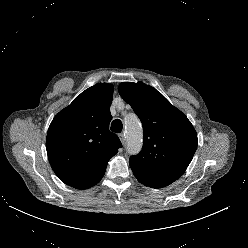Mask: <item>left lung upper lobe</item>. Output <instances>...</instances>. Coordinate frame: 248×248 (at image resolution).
<instances>
[{"label":"left lung upper lobe","instance_id":"1","mask_svg":"<svg viewBox=\"0 0 248 248\" xmlns=\"http://www.w3.org/2000/svg\"><path fill=\"white\" fill-rule=\"evenodd\" d=\"M119 93L143 124V148L129 162L134 176L151 188L168 186L183 175L193 158L197 148L195 129L180 110L151 86L123 82Z\"/></svg>","mask_w":248,"mask_h":248}]
</instances>
